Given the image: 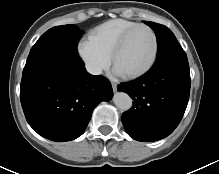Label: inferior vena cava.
<instances>
[{
  "label": "inferior vena cava",
  "mask_w": 219,
  "mask_h": 174,
  "mask_svg": "<svg viewBox=\"0 0 219 174\" xmlns=\"http://www.w3.org/2000/svg\"><path fill=\"white\" fill-rule=\"evenodd\" d=\"M86 69L90 74H93V75H99L102 73L101 68L95 64H92V63H88L86 65Z\"/></svg>",
  "instance_id": "602c4592"
}]
</instances>
